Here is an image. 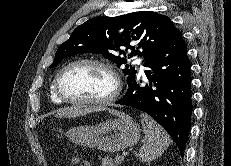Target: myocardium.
Masks as SVG:
<instances>
[{
	"instance_id": "f54148a6",
	"label": "myocardium",
	"mask_w": 231,
	"mask_h": 166,
	"mask_svg": "<svg viewBox=\"0 0 231 166\" xmlns=\"http://www.w3.org/2000/svg\"><path fill=\"white\" fill-rule=\"evenodd\" d=\"M80 64L96 65V66L103 68L105 71L108 72L113 82L112 90L110 91L108 95H106L105 97L96 98V99H72L64 95V93L62 92L60 88V77L62 73L68 68L75 66V65H80ZM53 87H54V91L56 95L63 102L74 104V105H80V106H100V105H108L114 102L118 98L121 92V79H120V76L117 70L109 62L103 59H99V58H79V59L70 61L69 63L65 64L59 69V71L55 75V78L53 81Z\"/></svg>"
}]
</instances>
